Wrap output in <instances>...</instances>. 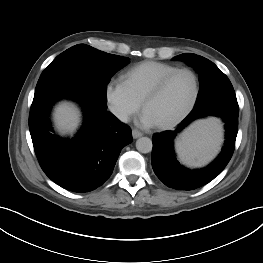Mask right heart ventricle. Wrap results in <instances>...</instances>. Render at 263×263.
<instances>
[{"label":"right heart ventricle","mask_w":263,"mask_h":263,"mask_svg":"<svg viewBox=\"0 0 263 263\" xmlns=\"http://www.w3.org/2000/svg\"><path fill=\"white\" fill-rule=\"evenodd\" d=\"M176 69L178 68L167 63L145 61L125 71L122 80L133 96L142 103L157 82Z\"/></svg>","instance_id":"e07e8e85"}]
</instances>
